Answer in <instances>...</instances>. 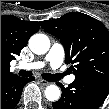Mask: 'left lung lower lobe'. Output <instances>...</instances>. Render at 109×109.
<instances>
[{
  "label": "left lung lower lobe",
  "mask_w": 109,
  "mask_h": 109,
  "mask_svg": "<svg viewBox=\"0 0 109 109\" xmlns=\"http://www.w3.org/2000/svg\"><path fill=\"white\" fill-rule=\"evenodd\" d=\"M58 85L62 96L52 103L53 109H98L109 95V88L87 80L75 79L66 88Z\"/></svg>",
  "instance_id": "obj_1"
}]
</instances>
